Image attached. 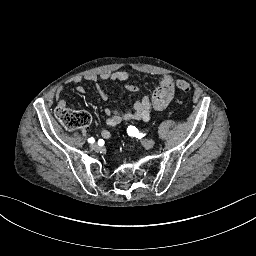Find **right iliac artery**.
<instances>
[{
  "label": "right iliac artery",
  "instance_id": "1",
  "mask_svg": "<svg viewBox=\"0 0 256 256\" xmlns=\"http://www.w3.org/2000/svg\"><path fill=\"white\" fill-rule=\"evenodd\" d=\"M94 141H95V140H94L93 137H91V138L88 139V142H89V143H94Z\"/></svg>",
  "mask_w": 256,
  "mask_h": 256
}]
</instances>
